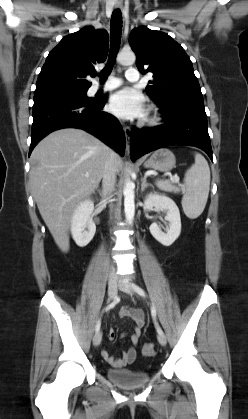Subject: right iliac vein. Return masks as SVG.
Wrapping results in <instances>:
<instances>
[{
	"label": "right iliac vein",
	"mask_w": 248,
	"mask_h": 419,
	"mask_svg": "<svg viewBox=\"0 0 248 419\" xmlns=\"http://www.w3.org/2000/svg\"><path fill=\"white\" fill-rule=\"evenodd\" d=\"M118 292V285L116 279H109L108 281V296L110 300L115 299ZM102 340V333L100 331L96 332L93 337L94 346H98Z\"/></svg>",
	"instance_id": "63e3f726"
}]
</instances>
